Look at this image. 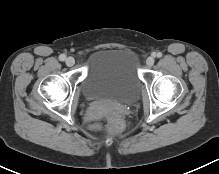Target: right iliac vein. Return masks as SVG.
<instances>
[{
	"mask_svg": "<svg viewBox=\"0 0 219 174\" xmlns=\"http://www.w3.org/2000/svg\"><path fill=\"white\" fill-rule=\"evenodd\" d=\"M65 62H66V65L70 67L74 65L75 60L73 57H68Z\"/></svg>",
	"mask_w": 219,
	"mask_h": 174,
	"instance_id": "1",
	"label": "right iliac vein"
}]
</instances>
